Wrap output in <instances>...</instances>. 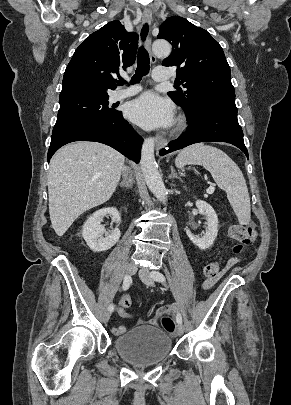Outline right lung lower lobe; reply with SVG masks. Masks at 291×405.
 Listing matches in <instances>:
<instances>
[{"mask_svg":"<svg viewBox=\"0 0 291 405\" xmlns=\"http://www.w3.org/2000/svg\"><path fill=\"white\" fill-rule=\"evenodd\" d=\"M74 141L104 143L138 163L143 139L123 118L121 111H117L109 120L77 124L53 133L47 155L48 162L56 150Z\"/></svg>","mask_w":291,"mask_h":405,"instance_id":"right-lung-lower-lobe-1","label":"right lung lower lobe"}]
</instances>
